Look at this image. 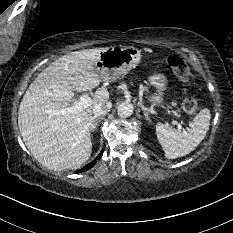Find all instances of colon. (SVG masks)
Segmentation results:
<instances>
[{
	"label": "colon",
	"mask_w": 233,
	"mask_h": 233,
	"mask_svg": "<svg viewBox=\"0 0 233 233\" xmlns=\"http://www.w3.org/2000/svg\"><path fill=\"white\" fill-rule=\"evenodd\" d=\"M168 65L184 85H190L193 81L190 68L187 62L178 55H172L168 58ZM182 107L189 114L197 113L201 108V103L190 96H184L182 99Z\"/></svg>",
	"instance_id": "colon-1"
}]
</instances>
